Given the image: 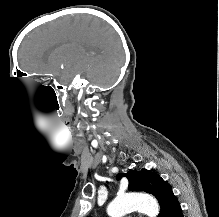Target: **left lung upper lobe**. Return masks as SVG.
I'll return each instance as SVG.
<instances>
[{
    "label": "left lung upper lobe",
    "instance_id": "5c2ea615",
    "mask_svg": "<svg viewBox=\"0 0 219 217\" xmlns=\"http://www.w3.org/2000/svg\"><path fill=\"white\" fill-rule=\"evenodd\" d=\"M123 176L129 180L128 190L147 192L157 198L161 208L158 217H167L173 204L178 202L171 186L157 173L142 169L141 171L118 174L117 178L120 179Z\"/></svg>",
    "mask_w": 219,
    "mask_h": 217
}]
</instances>
